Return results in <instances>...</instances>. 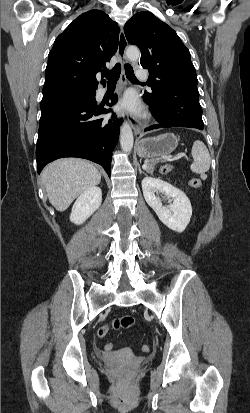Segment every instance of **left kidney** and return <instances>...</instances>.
I'll list each match as a JSON object with an SVG mask.
<instances>
[{
  "mask_svg": "<svg viewBox=\"0 0 250 413\" xmlns=\"http://www.w3.org/2000/svg\"><path fill=\"white\" fill-rule=\"evenodd\" d=\"M142 190L147 204L168 228L182 233L190 222L192 206L186 194L171 184L153 177L142 180ZM172 198L173 203L166 207L157 193Z\"/></svg>",
  "mask_w": 250,
  "mask_h": 413,
  "instance_id": "5707ae66",
  "label": "left kidney"
}]
</instances>
